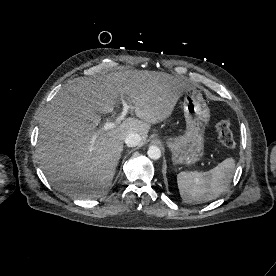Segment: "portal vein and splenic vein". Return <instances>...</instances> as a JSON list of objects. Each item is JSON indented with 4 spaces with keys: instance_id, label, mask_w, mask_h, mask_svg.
Returning a JSON list of instances; mask_svg holds the SVG:
<instances>
[{
    "instance_id": "18ae733b",
    "label": "portal vein and splenic vein",
    "mask_w": 276,
    "mask_h": 276,
    "mask_svg": "<svg viewBox=\"0 0 276 276\" xmlns=\"http://www.w3.org/2000/svg\"><path fill=\"white\" fill-rule=\"evenodd\" d=\"M122 104H123L122 112L119 116H117V118L115 119V122H106L101 130H110L115 128L117 124H119L121 121L125 119V116L128 113V110L135 108L132 105H128L124 100L122 101Z\"/></svg>"
}]
</instances>
